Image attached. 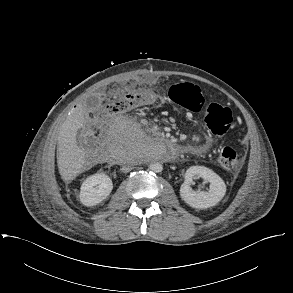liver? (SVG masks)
I'll list each match as a JSON object with an SVG mask.
<instances>
[{"mask_svg": "<svg viewBox=\"0 0 293 293\" xmlns=\"http://www.w3.org/2000/svg\"><path fill=\"white\" fill-rule=\"evenodd\" d=\"M82 106L73 109L60 127L57 143V165L61 178L70 181L84 171L85 152L77 145V131L84 127Z\"/></svg>", "mask_w": 293, "mask_h": 293, "instance_id": "liver-1", "label": "liver"}]
</instances>
